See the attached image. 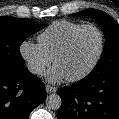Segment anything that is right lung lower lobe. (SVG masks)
Returning <instances> with one entry per match:
<instances>
[{"instance_id": "1", "label": "right lung lower lobe", "mask_w": 119, "mask_h": 119, "mask_svg": "<svg viewBox=\"0 0 119 119\" xmlns=\"http://www.w3.org/2000/svg\"><path fill=\"white\" fill-rule=\"evenodd\" d=\"M45 99V85L24 65L0 66V119H28Z\"/></svg>"}]
</instances>
